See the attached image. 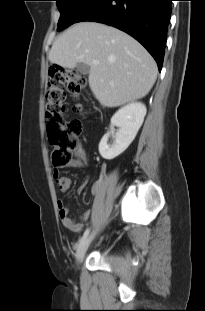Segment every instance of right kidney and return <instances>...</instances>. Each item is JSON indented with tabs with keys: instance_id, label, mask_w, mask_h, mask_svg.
I'll use <instances>...</instances> for the list:
<instances>
[{
	"instance_id": "obj_1",
	"label": "right kidney",
	"mask_w": 205,
	"mask_h": 311,
	"mask_svg": "<svg viewBox=\"0 0 205 311\" xmlns=\"http://www.w3.org/2000/svg\"><path fill=\"white\" fill-rule=\"evenodd\" d=\"M146 115V107L140 102L130 103L119 109L111 118L110 131L99 143V153L107 160L114 159L123 153L132 143ZM119 129L115 132L114 127ZM114 138L113 144H107L109 137Z\"/></svg>"
}]
</instances>
